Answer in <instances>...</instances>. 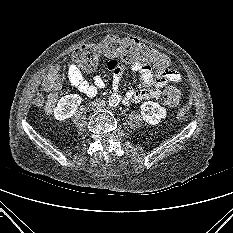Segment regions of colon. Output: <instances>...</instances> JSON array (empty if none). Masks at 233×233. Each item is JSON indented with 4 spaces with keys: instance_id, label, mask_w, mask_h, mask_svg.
Here are the masks:
<instances>
[{
    "instance_id": "obj_1",
    "label": "colon",
    "mask_w": 233,
    "mask_h": 233,
    "mask_svg": "<svg viewBox=\"0 0 233 233\" xmlns=\"http://www.w3.org/2000/svg\"><path fill=\"white\" fill-rule=\"evenodd\" d=\"M121 58L128 64H152L158 70H167L170 60L148 44L134 38H119L115 35L102 37L96 44H88L73 53V61L86 71L92 70L101 58ZM64 82V75L59 67H53L43 82L49 92L44 109L51 112L56 103V92ZM181 92L176 87H168L163 92V101L169 107L179 105Z\"/></svg>"
}]
</instances>
